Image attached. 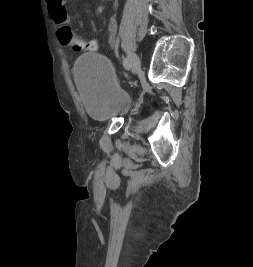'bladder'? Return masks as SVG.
I'll return each mask as SVG.
<instances>
[{
	"mask_svg": "<svg viewBox=\"0 0 253 267\" xmlns=\"http://www.w3.org/2000/svg\"><path fill=\"white\" fill-rule=\"evenodd\" d=\"M73 73L85 111L91 119L106 122L130 106V96L119 85L110 61L103 55L82 54Z\"/></svg>",
	"mask_w": 253,
	"mask_h": 267,
	"instance_id": "1",
	"label": "bladder"
}]
</instances>
